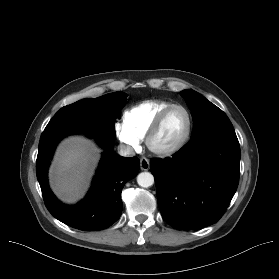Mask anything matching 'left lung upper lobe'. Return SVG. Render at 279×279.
Wrapping results in <instances>:
<instances>
[{
  "mask_svg": "<svg viewBox=\"0 0 279 279\" xmlns=\"http://www.w3.org/2000/svg\"><path fill=\"white\" fill-rule=\"evenodd\" d=\"M180 95L192 111L194 122L192 138L211 131L234 130L227 115L199 93L184 90Z\"/></svg>",
  "mask_w": 279,
  "mask_h": 279,
  "instance_id": "1",
  "label": "left lung upper lobe"
}]
</instances>
